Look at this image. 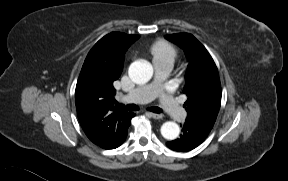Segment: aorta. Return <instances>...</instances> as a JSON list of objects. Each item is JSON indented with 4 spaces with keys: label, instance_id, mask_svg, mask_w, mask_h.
Instances as JSON below:
<instances>
[{
    "label": "aorta",
    "instance_id": "762f6f07",
    "mask_svg": "<svg viewBox=\"0 0 288 181\" xmlns=\"http://www.w3.org/2000/svg\"><path fill=\"white\" fill-rule=\"evenodd\" d=\"M128 73L134 83L145 84L152 78L153 67L145 60H136L130 65ZM179 133L180 128L175 122L167 121L161 126V134L167 140L176 139Z\"/></svg>",
    "mask_w": 288,
    "mask_h": 181
}]
</instances>
